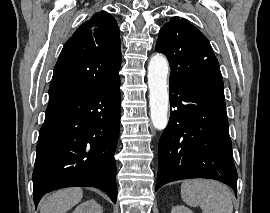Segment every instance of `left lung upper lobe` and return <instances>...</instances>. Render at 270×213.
I'll return each instance as SVG.
<instances>
[{
  "label": "left lung upper lobe",
  "instance_id": "1",
  "mask_svg": "<svg viewBox=\"0 0 270 213\" xmlns=\"http://www.w3.org/2000/svg\"><path fill=\"white\" fill-rule=\"evenodd\" d=\"M156 51L170 64V83L198 87L224 97L219 63L206 37L187 20L172 17L159 32Z\"/></svg>",
  "mask_w": 270,
  "mask_h": 213
}]
</instances>
